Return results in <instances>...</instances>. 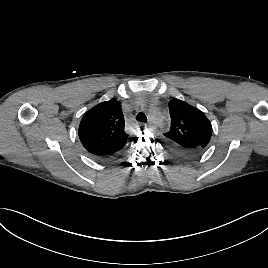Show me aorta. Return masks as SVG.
<instances>
[{
    "label": "aorta",
    "mask_w": 268,
    "mask_h": 268,
    "mask_svg": "<svg viewBox=\"0 0 268 268\" xmlns=\"http://www.w3.org/2000/svg\"><path fill=\"white\" fill-rule=\"evenodd\" d=\"M148 112L152 123L160 127L163 124L162 114L157 110H149Z\"/></svg>",
    "instance_id": "1"
}]
</instances>
